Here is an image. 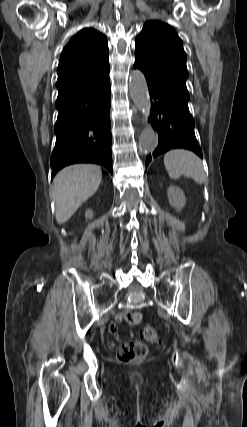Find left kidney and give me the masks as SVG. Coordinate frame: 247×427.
I'll use <instances>...</instances> for the list:
<instances>
[{
    "instance_id": "obj_1",
    "label": "left kidney",
    "mask_w": 247,
    "mask_h": 427,
    "mask_svg": "<svg viewBox=\"0 0 247 427\" xmlns=\"http://www.w3.org/2000/svg\"><path fill=\"white\" fill-rule=\"evenodd\" d=\"M167 194L170 205L177 211H181L186 204V198L183 190L178 186L171 185L167 190Z\"/></svg>"
}]
</instances>
